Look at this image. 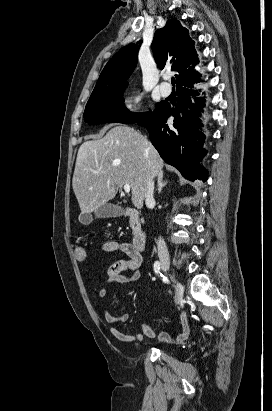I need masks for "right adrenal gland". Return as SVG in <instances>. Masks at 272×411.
I'll return each mask as SVG.
<instances>
[{"instance_id":"obj_1","label":"right adrenal gland","mask_w":272,"mask_h":411,"mask_svg":"<svg viewBox=\"0 0 272 411\" xmlns=\"http://www.w3.org/2000/svg\"><path fill=\"white\" fill-rule=\"evenodd\" d=\"M163 177H164V174H163V173L158 174V177H157V182H158V194L161 193L162 188H163L164 186H166L167 183H168V181H163Z\"/></svg>"}]
</instances>
